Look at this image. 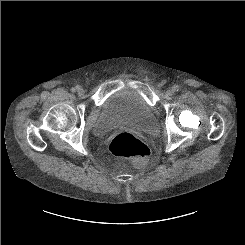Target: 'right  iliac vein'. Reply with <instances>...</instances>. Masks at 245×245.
I'll return each mask as SVG.
<instances>
[{
	"instance_id": "right-iliac-vein-1",
	"label": "right iliac vein",
	"mask_w": 245,
	"mask_h": 245,
	"mask_svg": "<svg viewBox=\"0 0 245 245\" xmlns=\"http://www.w3.org/2000/svg\"><path fill=\"white\" fill-rule=\"evenodd\" d=\"M78 94L80 95V96H83L84 94H85V90L83 89V88H78Z\"/></svg>"
}]
</instances>
